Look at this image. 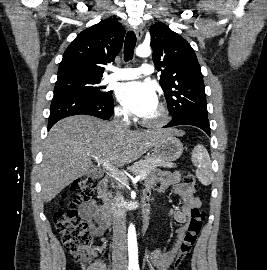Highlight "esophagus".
<instances>
[{
    "label": "esophagus",
    "mask_w": 267,
    "mask_h": 270,
    "mask_svg": "<svg viewBox=\"0 0 267 270\" xmlns=\"http://www.w3.org/2000/svg\"><path fill=\"white\" fill-rule=\"evenodd\" d=\"M135 34L138 40H141L143 37V30L142 28L139 26L135 29Z\"/></svg>",
    "instance_id": "obj_1"
}]
</instances>
